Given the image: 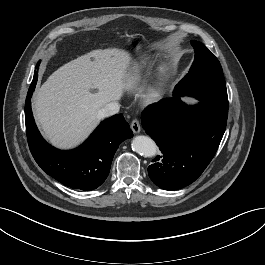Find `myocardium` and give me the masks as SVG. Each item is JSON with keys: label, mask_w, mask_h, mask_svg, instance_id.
Returning <instances> with one entry per match:
<instances>
[{"label": "myocardium", "mask_w": 265, "mask_h": 265, "mask_svg": "<svg viewBox=\"0 0 265 265\" xmlns=\"http://www.w3.org/2000/svg\"><path fill=\"white\" fill-rule=\"evenodd\" d=\"M167 83V74L165 70H161L156 81L148 92L144 95V102L147 104L156 102L164 93Z\"/></svg>", "instance_id": "myocardium-1"}]
</instances>
